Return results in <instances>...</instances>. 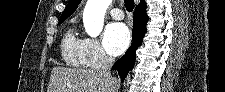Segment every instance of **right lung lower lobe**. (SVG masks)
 I'll list each match as a JSON object with an SVG mask.
<instances>
[{"label": "right lung lower lobe", "instance_id": "98d812e1", "mask_svg": "<svg viewBox=\"0 0 225 92\" xmlns=\"http://www.w3.org/2000/svg\"><path fill=\"white\" fill-rule=\"evenodd\" d=\"M148 17L146 11H140L135 9L134 12V23L132 30V44L127 50L125 55H123L112 67L113 70H117L122 81L127 76L128 72L133 69L135 63V52L136 49L142 44L143 37L147 32L146 23Z\"/></svg>", "mask_w": 225, "mask_h": 92}]
</instances>
